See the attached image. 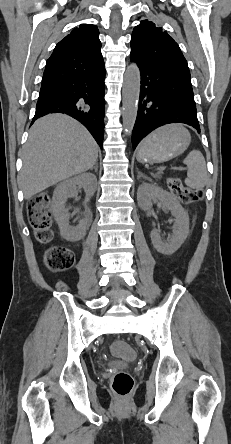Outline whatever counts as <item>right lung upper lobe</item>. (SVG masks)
<instances>
[{"instance_id":"cb5924a9","label":"right lung upper lobe","mask_w":231,"mask_h":444,"mask_svg":"<svg viewBox=\"0 0 231 444\" xmlns=\"http://www.w3.org/2000/svg\"><path fill=\"white\" fill-rule=\"evenodd\" d=\"M100 49L98 28L81 24L56 45L47 60L42 85L100 72L104 69Z\"/></svg>"}]
</instances>
